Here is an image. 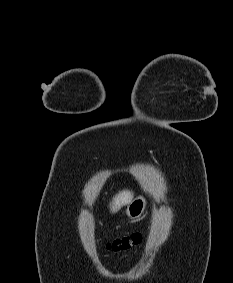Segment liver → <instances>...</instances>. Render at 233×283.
I'll list each match as a JSON object with an SVG mask.
<instances>
[{"label": "liver", "instance_id": "liver-1", "mask_svg": "<svg viewBox=\"0 0 233 283\" xmlns=\"http://www.w3.org/2000/svg\"><path fill=\"white\" fill-rule=\"evenodd\" d=\"M133 193L128 190L119 192L113 197L112 203L110 204V210L112 213L117 212L122 206L128 205L132 202Z\"/></svg>", "mask_w": 233, "mask_h": 283}]
</instances>
